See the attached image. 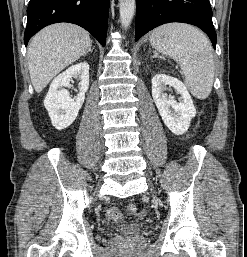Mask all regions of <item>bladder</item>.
Listing matches in <instances>:
<instances>
[{"label": "bladder", "instance_id": "1", "mask_svg": "<svg viewBox=\"0 0 247 257\" xmlns=\"http://www.w3.org/2000/svg\"><path fill=\"white\" fill-rule=\"evenodd\" d=\"M146 230V227L141 224H123L117 226L114 231L122 236H134Z\"/></svg>", "mask_w": 247, "mask_h": 257}]
</instances>
